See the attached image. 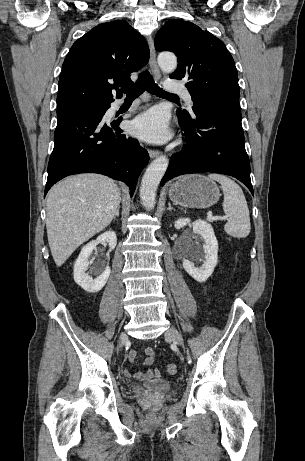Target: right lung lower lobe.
<instances>
[{"mask_svg": "<svg viewBox=\"0 0 305 461\" xmlns=\"http://www.w3.org/2000/svg\"><path fill=\"white\" fill-rule=\"evenodd\" d=\"M109 107L110 104L102 111L57 110L44 195L57 181L78 173H100L123 181L133 195L149 155L136 139L122 133L118 127L121 119L104 123L103 116Z\"/></svg>", "mask_w": 305, "mask_h": 461, "instance_id": "1", "label": "right lung lower lobe"}]
</instances>
